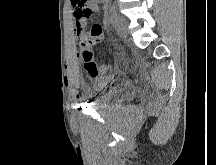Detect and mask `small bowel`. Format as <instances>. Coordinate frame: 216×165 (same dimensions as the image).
Masks as SVG:
<instances>
[{
  "instance_id": "small-bowel-1",
  "label": "small bowel",
  "mask_w": 216,
  "mask_h": 165,
  "mask_svg": "<svg viewBox=\"0 0 216 165\" xmlns=\"http://www.w3.org/2000/svg\"><path fill=\"white\" fill-rule=\"evenodd\" d=\"M98 1L99 0H87V2H85V5H76L75 7L71 0L73 6V18H74L73 36L75 40H80L81 42H84L87 39V34L85 33L84 28L87 25L90 15L99 10ZM101 1H105V0H101ZM103 24L104 26L108 24L107 17L103 19ZM85 68L87 72L90 74V76L92 77L98 76V74H96L86 66ZM80 96L81 94L77 93L76 97L78 98Z\"/></svg>"
}]
</instances>
